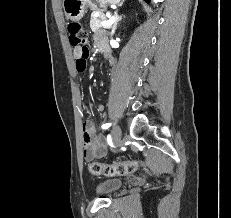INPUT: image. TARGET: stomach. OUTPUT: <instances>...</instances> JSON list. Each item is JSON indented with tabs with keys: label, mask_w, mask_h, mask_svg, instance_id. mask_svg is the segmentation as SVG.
Listing matches in <instances>:
<instances>
[{
	"label": "stomach",
	"mask_w": 231,
	"mask_h": 218,
	"mask_svg": "<svg viewBox=\"0 0 231 218\" xmlns=\"http://www.w3.org/2000/svg\"><path fill=\"white\" fill-rule=\"evenodd\" d=\"M121 0H63V9L67 19L80 20L87 9L104 11L108 5H117Z\"/></svg>",
	"instance_id": "stomach-1"
}]
</instances>
